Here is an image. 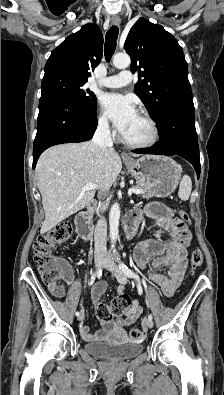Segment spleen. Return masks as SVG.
<instances>
[{
    "label": "spleen",
    "mask_w": 224,
    "mask_h": 395,
    "mask_svg": "<svg viewBox=\"0 0 224 395\" xmlns=\"http://www.w3.org/2000/svg\"><path fill=\"white\" fill-rule=\"evenodd\" d=\"M192 190V181L188 175H184L179 186L178 196L181 200L186 201L189 199Z\"/></svg>",
    "instance_id": "spleen-1"
}]
</instances>
